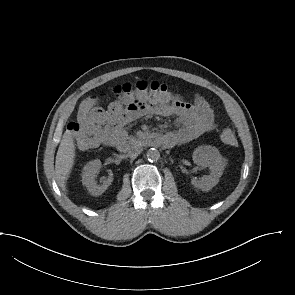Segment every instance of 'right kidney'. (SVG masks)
I'll return each instance as SVG.
<instances>
[{"label":"right kidney","instance_id":"1","mask_svg":"<svg viewBox=\"0 0 295 295\" xmlns=\"http://www.w3.org/2000/svg\"><path fill=\"white\" fill-rule=\"evenodd\" d=\"M101 168V161L99 159L87 163L83 168L82 183L86 186L87 190L94 196L101 195L106 191L108 186L113 181V174L109 171L108 178L103 180L101 185L97 184L95 177Z\"/></svg>","mask_w":295,"mask_h":295}]
</instances>
